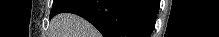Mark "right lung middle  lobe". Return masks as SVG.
<instances>
[{
	"label": "right lung middle lobe",
	"mask_w": 219,
	"mask_h": 37,
	"mask_svg": "<svg viewBox=\"0 0 219 37\" xmlns=\"http://www.w3.org/2000/svg\"><path fill=\"white\" fill-rule=\"evenodd\" d=\"M67 0H54L53 2V7H52V10H51V13H50V18H52L54 15H56L58 13V11L60 10V8L66 4Z\"/></svg>",
	"instance_id": "1"
}]
</instances>
